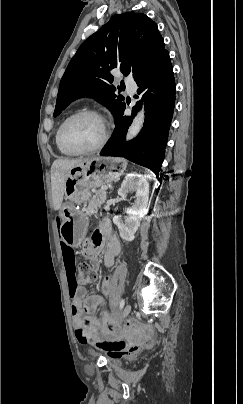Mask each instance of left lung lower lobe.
<instances>
[{
  "label": "left lung lower lobe",
  "instance_id": "0a47b994",
  "mask_svg": "<svg viewBox=\"0 0 243 404\" xmlns=\"http://www.w3.org/2000/svg\"><path fill=\"white\" fill-rule=\"evenodd\" d=\"M136 83L138 94L143 93L141 101L137 102L131 117L122 114L115 122L113 136L99 154L125 157L158 176L175 105V79L169 53H164ZM142 102L146 112L144 126L134 140L125 142L127 129Z\"/></svg>",
  "mask_w": 243,
  "mask_h": 404
}]
</instances>
